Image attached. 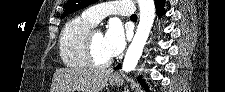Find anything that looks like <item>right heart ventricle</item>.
Returning <instances> with one entry per match:
<instances>
[{
    "label": "right heart ventricle",
    "instance_id": "right-heart-ventricle-1",
    "mask_svg": "<svg viewBox=\"0 0 225 92\" xmlns=\"http://www.w3.org/2000/svg\"><path fill=\"white\" fill-rule=\"evenodd\" d=\"M93 27L94 25L82 16L74 17L64 25L59 37V56L65 65L80 69L90 67L84 43Z\"/></svg>",
    "mask_w": 225,
    "mask_h": 92
}]
</instances>
